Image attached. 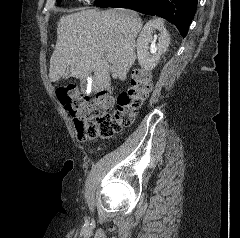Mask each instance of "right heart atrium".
<instances>
[{
  "mask_svg": "<svg viewBox=\"0 0 240 238\" xmlns=\"http://www.w3.org/2000/svg\"><path fill=\"white\" fill-rule=\"evenodd\" d=\"M80 1H88V0H80Z\"/></svg>",
  "mask_w": 240,
  "mask_h": 238,
  "instance_id": "right-heart-atrium-1",
  "label": "right heart atrium"
}]
</instances>
